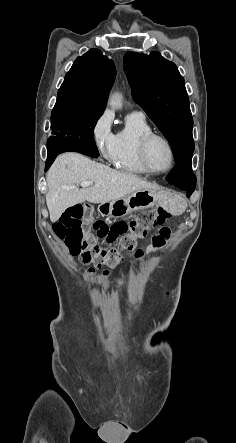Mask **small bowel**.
I'll use <instances>...</instances> for the list:
<instances>
[{
	"label": "small bowel",
	"instance_id": "obj_1",
	"mask_svg": "<svg viewBox=\"0 0 236 443\" xmlns=\"http://www.w3.org/2000/svg\"><path fill=\"white\" fill-rule=\"evenodd\" d=\"M165 236L162 235V233L155 235L152 239V243L151 246L154 248H159L163 245L164 241H165ZM142 256V252L138 251L136 253V257L140 258ZM94 270L92 268L88 269V272L92 273Z\"/></svg>",
	"mask_w": 236,
	"mask_h": 443
}]
</instances>
